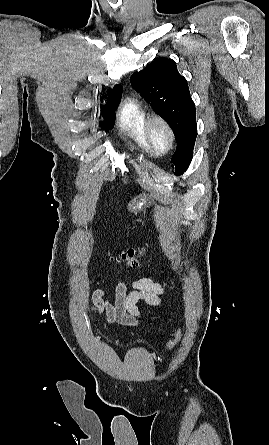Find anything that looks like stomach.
Here are the masks:
<instances>
[{
    "instance_id": "0dacf381",
    "label": "stomach",
    "mask_w": 269,
    "mask_h": 445,
    "mask_svg": "<svg viewBox=\"0 0 269 445\" xmlns=\"http://www.w3.org/2000/svg\"><path fill=\"white\" fill-rule=\"evenodd\" d=\"M153 203V200L148 194H140L134 197L128 204V209L135 214L144 210Z\"/></svg>"
}]
</instances>
